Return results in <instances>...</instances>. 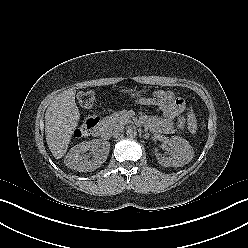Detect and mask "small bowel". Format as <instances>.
<instances>
[{"label": "small bowel", "instance_id": "1", "mask_svg": "<svg viewBox=\"0 0 248 248\" xmlns=\"http://www.w3.org/2000/svg\"><path fill=\"white\" fill-rule=\"evenodd\" d=\"M155 97H161L162 101L158 104V111L161 114L160 119H145L153 130L161 133H170L173 130V119H177V127L182 128L185 123V119L182 113L185 108V102L183 99L175 98L170 91H156L149 98L140 100V103L152 105Z\"/></svg>", "mask_w": 248, "mask_h": 248}]
</instances>
